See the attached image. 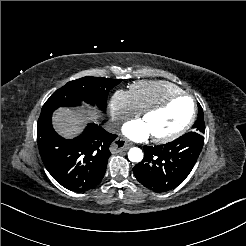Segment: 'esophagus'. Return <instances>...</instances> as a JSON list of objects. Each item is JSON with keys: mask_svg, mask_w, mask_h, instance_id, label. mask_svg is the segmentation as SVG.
Segmentation results:
<instances>
[{"mask_svg": "<svg viewBox=\"0 0 246 246\" xmlns=\"http://www.w3.org/2000/svg\"><path fill=\"white\" fill-rule=\"evenodd\" d=\"M123 139H116L112 142L111 147H110V151L115 154V153H119L121 151H125L128 148L131 147L130 143H127L126 141ZM122 145V146H121Z\"/></svg>", "mask_w": 246, "mask_h": 246, "instance_id": "esophagus-1", "label": "esophagus"}]
</instances>
